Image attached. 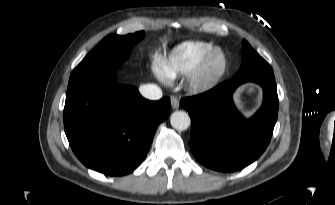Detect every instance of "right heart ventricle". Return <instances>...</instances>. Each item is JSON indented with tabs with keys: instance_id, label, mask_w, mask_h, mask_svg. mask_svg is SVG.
I'll return each mask as SVG.
<instances>
[{
	"instance_id": "e07e8e85",
	"label": "right heart ventricle",
	"mask_w": 335,
	"mask_h": 205,
	"mask_svg": "<svg viewBox=\"0 0 335 205\" xmlns=\"http://www.w3.org/2000/svg\"><path fill=\"white\" fill-rule=\"evenodd\" d=\"M216 48L210 42L186 41L176 46L164 61L163 69L169 77L190 74L201 59Z\"/></svg>"
}]
</instances>
